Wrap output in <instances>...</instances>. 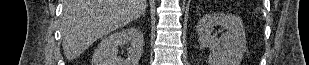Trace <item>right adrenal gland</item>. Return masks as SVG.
Listing matches in <instances>:
<instances>
[{"label":"right adrenal gland","instance_id":"right-adrenal-gland-1","mask_svg":"<svg viewBox=\"0 0 309 65\" xmlns=\"http://www.w3.org/2000/svg\"><path fill=\"white\" fill-rule=\"evenodd\" d=\"M146 9L147 7L142 11V13L140 14V16L138 18H140L142 15L145 16L146 15Z\"/></svg>","mask_w":309,"mask_h":65}]
</instances>
